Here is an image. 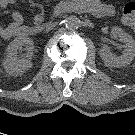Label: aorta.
Masks as SVG:
<instances>
[{"mask_svg": "<svg viewBox=\"0 0 135 135\" xmlns=\"http://www.w3.org/2000/svg\"><path fill=\"white\" fill-rule=\"evenodd\" d=\"M65 25L69 29H75L80 26V19L75 15H70L65 19Z\"/></svg>", "mask_w": 135, "mask_h": 135, "instance_id": "aorta-1", "label": "aorta"}]
</instances>
